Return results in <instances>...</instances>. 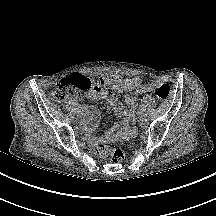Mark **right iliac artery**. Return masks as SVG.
Masks as SVG:
<instances>
[{"mask_svg":"<svg viewBox=\"0 0 216 216\" xmlns=\"http://www.w3.org/2000/svg\"><path fill=\"white\" fill-rule=\"evenodd\" d=\"M77 112H78V113H81V112H82V109H81V108H78V109H77Z\"/></svg>","mask_w":216,"mask_h":216,"instance_id":"82829eb1","label":"right iliac artery"}]
</instances>
